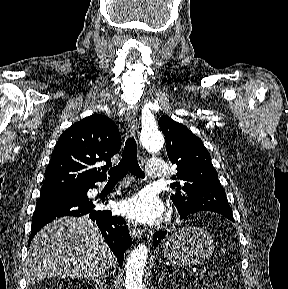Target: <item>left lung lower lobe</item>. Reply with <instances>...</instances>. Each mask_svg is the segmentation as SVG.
Masks as SVG:
<instances>
[{
    "mask_svg": "<svg viewBox=\"0 0 288 289\" xmlns=\"http://www.w3.org/2000/svg\"><path fill=\"white\" fill-rule=\"evenodd\" d=\"M179 214H180L181 218H184L186 215H188V214H184L181 212H179ZM165 235H166V231H161V232H157L154 234V236H153L154 249L159 245V243L162 241V239L164 238Z\"/></svg>",
    "mask_w": 288,
    "mask_h": 289,
    "instance_id": "1",
    "label": "left lung lower lobe"
}]
</instances>
